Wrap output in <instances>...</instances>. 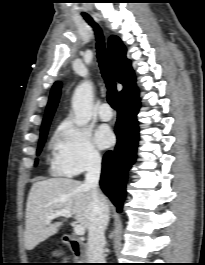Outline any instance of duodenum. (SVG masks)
Listing matches in <instances>:
<instances>
[{
  "label": "duodenum",
  "mask_w": 205,
  "mask_h": 265,
  "mask_svg": "<svg viewBox=\"0 0 205 265\" xmlns=\"http://www.w3.org/2000/svg\"><path fill=\"white\" fill-rule=\"evenodd\" d=\"M63 242L69 247L72 253L77 257L78 261H85L86 247L79 239L71 237L69 235L63 236Z\"/></svg>",
  "instance_id": "1"
}]
</instances>
